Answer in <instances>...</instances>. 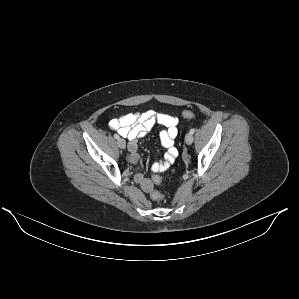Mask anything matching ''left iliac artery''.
<instances>
[{
    "label": "left iliac artery",
    "mask_w": 299,
    "mask_h": 299,
    "mask_svg": "<svg viewBox=\"0 0 299 299\" xmlns=\"http://www.w3.org/2000/svg\"><path fill=\"white\" fill-rule=\"evenodd\" d=\"M195 132V129L194 128H192L191 130H190V133H194Z\"/></svg>",
    "instance_id": "left-iliac-artery-1"
}]
</instances>
